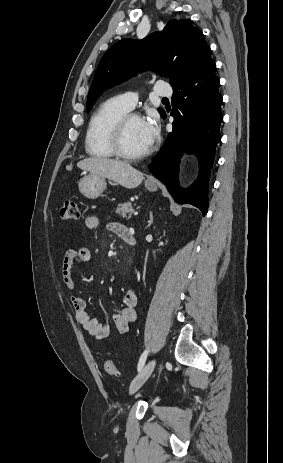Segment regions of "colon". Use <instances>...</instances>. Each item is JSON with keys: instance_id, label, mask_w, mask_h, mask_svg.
Returning <instances> with one entry per match:
<instances>
[{"instance_id": "5ec220e1", "label": "colon", "mask_w": 283, "mask_h": 463, "mask_svg": "<svg viewBox=\"0 0 283 463\" xmlns=\"http://www.w3.org/2000/svg\"><path fill=\"white\" fill-rule=\"evenodd\" d=\"M60 216L62 220H79L81 217V211L79 205L74 200H66L60 210ZM105 372L110 375L117 374V368L113 360L105 359L103 362Z\"/></svg>"}]
</instances>
